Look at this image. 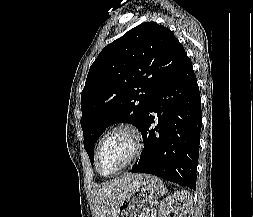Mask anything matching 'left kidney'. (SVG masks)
<instances>
[{
	"label": "left kidney",
	"mask_w": 253,
	"mask_h": 217,
	"mask_svg": "<svg viewBox=\"0 0 253 217\" xmlns=\"http://www.w3.org/2000/svg\"><path fill=\"white\" fill-rule=\"evenodd\" d=\"M181 203L183 205L181 206ZM192 205V196L187 191H177L166 198L160 205L159 217H169L170 210L178 206L179 217H187L188 208Z\"/></svg>",
	"instance_id": "obj_1"
}]
</instances>
